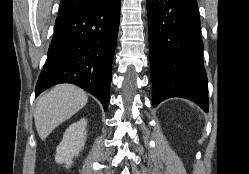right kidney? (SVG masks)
I'll return each instance as SVG.
<instances>
[{
    "mask_svg": "<svg viewBox=\"0 0 249 174\" xmlns=\"http://www.w3.org/2000/svg\"><path fill=\"white\" fill-rule=\"evenodd\" d=\"M87 119L83 118L71 124L65 131L61 143L56 149L55 161L69 168L73 158L82 151L86 140Z\"/></svg>",
    "mask_w": 249,
    "mask_h": 174,
    "instance_id": "right-kidney-1",
    "label": "right kidney"
}]
</instances>
